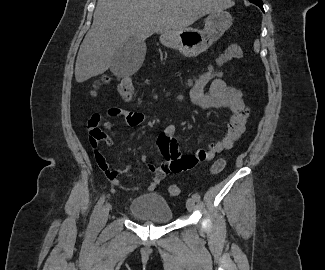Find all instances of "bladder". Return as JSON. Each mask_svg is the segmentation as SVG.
Segmentation results:
<instances>
[{
	"label": "bladder",
	"instance_id": "obj_1",
	"mask_svg": "<svg viewBox=\"0 0 325 270\" xmlns=\"http://www.w3.org/2000/svg\"><path fill=\"white\" fill-rule=\"evenodd\" d=\"M131 216L152 223H169L173 219V210L159 194H144L135 197L129 205Z\"/></svg>",
	"mask_w": 325,
	"mask_h": 270
}]
</instances>
